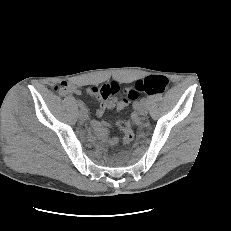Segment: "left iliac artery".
<instances>
[{
    "mask_svg": "<svg viewBox=\"0 0 231 231\" xmlns=\"http://www.w3.org/2000/svg\"><path fill=\"white\" fill-rule=\"evenodd\" d=\"M146 102H147V99H146V98H142V99H141V103H142V104H145Z\"/></svg>",
    "mask_w": 231,
    "mask_h": 231,
    "instance_id": "44dca946",
    "label": "left iliac artery"
}]
</instances>
